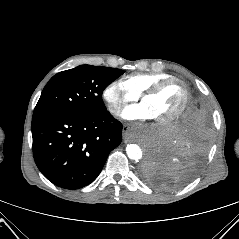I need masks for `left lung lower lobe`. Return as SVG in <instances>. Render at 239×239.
I'll use <instances>...</instances> for the list:
<instances>
[{
    "label": "left lung lower lobe",
    "instance_id": "obj_1",
    "mask_svg": "<svg viewBox=\"0 0 239 239\" xmlns=\"http://www.w3.org/2000/svg\"><path fill=\"white\" fill-rule=\"evenodd\" d=\"M209 128L206 108L194 101L172 130L151 148L143 167L147 181L166 190L189 182L207 153Z\"/></svg>",
    "mask_w": 239,
    "mask_h": 239
}]
</instances>
